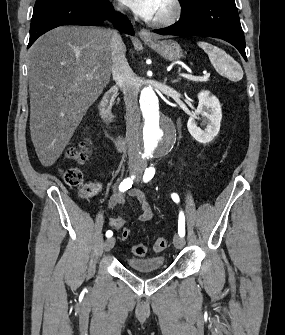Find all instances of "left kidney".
Here are the masks:
<instances>
[{"instance_id": "1", "label": "left kidney", "mask_w": 285, "mask_h": 335, "mask_svg": "<svg viewBox=\"0 0 285 335\" xmlns=\"http://www.w3.org/2000/svg\"><path fill=\"white\" fill-rule=\"evenodd\" d=\"M198 100V108L190 116L187 128L188 132L199 144H209L220 130L222 110L218 98L210 96V92H207V90H203V92L198 94ZM199 116H202V118H199ZM197 120H203L204 124H206L204 130L199 128Z\"/></svg>"}]
</instances>
